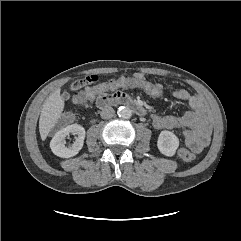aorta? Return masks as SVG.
<instances>
[{
  "instance_id": "obj_1",
  "label": "aorta",
  "mask_w": 241,
  "mask_h": 241,
  "mask_svg": "<svg viewBox=\"0 0 241 241\" xmlns=\"http://www.w3.org/2000/svg\"><path fill=\"white\" fill-rule=\"evenodd\" d=\"M118 115L119 117L123 118V119H130L132 116V110L128 107H119L118 109Z\"/></svg>"
}]
</instances>
